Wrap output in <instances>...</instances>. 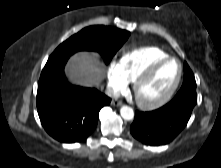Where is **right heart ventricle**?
Here are the masks:
<instances>
[{
    "label": "right heart ventricle",
    "mask_w": 221,
    "mask_h": 168,
    "mask_svg": "<svg viewBox=\"0 0 221 168\" xmlns=\"http://www.w3.org/2000/svg\"><path fill=\"white\" fill-rule=\"evenodd\" d=\"M168 54L158 47H141L124 53L119 69L128 82H133L152 63L167 57Z\"/></svg>",
    "instance_id": "1"
}]
</instances>
